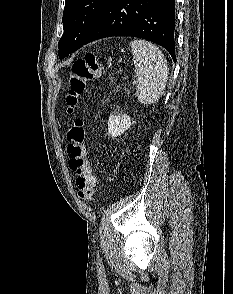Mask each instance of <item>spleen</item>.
Here are the masks:
<instances>
[{"instance_id":"1","label":"spleen","mask_w":233,"mask_h":294,"mask_svg":"<svg viewBox=\"0 0 233 294\" xmlns=\"http://www.w3.org/2000/svg\"><path fill=\"white\" fill-rule=\"evenodd\" d=\"M137 77L136 97L141 104H153L160 99L166 87L169 69L162 52L145 40L130 42Z\"/></svg>"}]
</instances>
